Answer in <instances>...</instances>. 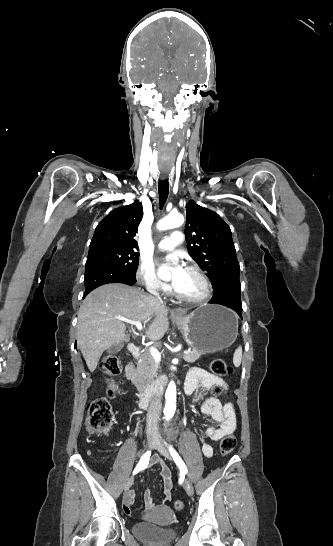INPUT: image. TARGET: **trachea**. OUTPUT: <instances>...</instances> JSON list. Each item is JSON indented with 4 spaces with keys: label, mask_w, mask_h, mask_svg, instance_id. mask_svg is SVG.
Segmentation results:
<instances>
[{
    "label": "trachea",
    "mask_w": 333,
    "mask_h": 546,
    "mask_svg": "<svg viewBox=\"0 0 333 546\" xmlns=\"http://www.w3.org/2000/svg\"><path fill=\"white\" fill-rule=\"evenodd\" d=\"M158 192H159L160 208H162L164 203L166 202V199H167L168 193H169L168 180H160L159 181Z\"/></svg>",
    "instance_id": "trachea-1"
}]
</instances>
